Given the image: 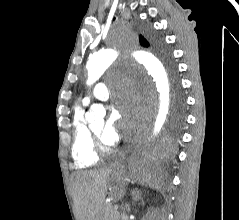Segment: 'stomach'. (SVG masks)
Returning a JSON list of instances; mask_svg holds the SVG:
<instances>
[{"mask_svg":"<svg viewBox=\"0 0 239 220\" xmlns=\"http://www.w3.org/2000/svg\"><path fill=\"white\" fill-rule=\"evenodd\" d=\"M134 156V155H133ZM116 186H124L125 183H114ZM118 192H123V191H118Z\"/></svg>","mask_w":239,"mask_h":220,"instance_id":"1","label":"stomach"}]
</instances>
